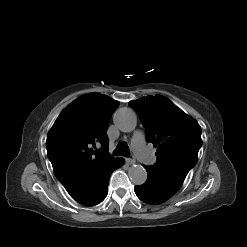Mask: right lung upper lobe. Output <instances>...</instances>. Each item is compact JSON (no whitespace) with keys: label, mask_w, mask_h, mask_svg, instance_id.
<instances>
[{"label":"right lung upper lobe","mask_w":247,"mask_h":247,"mask_svg":"<svg viewBox=\"0 0 247 247\" xmlns=\"http://www.w3.org/2000/svg\"><path fill=\"white\" fill-rule=\"evenodd\" d=\"M118 105L106 95H83L60 113L50 129L46 141L48 158L68 193L116 160L108 152L106 131Z\"/></svg>","instance_id":"1"}]
</instances>
